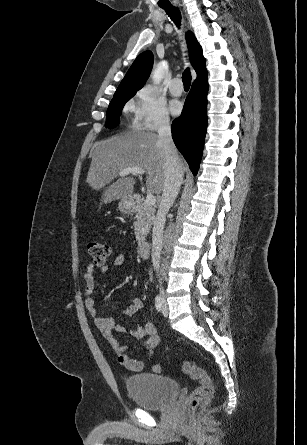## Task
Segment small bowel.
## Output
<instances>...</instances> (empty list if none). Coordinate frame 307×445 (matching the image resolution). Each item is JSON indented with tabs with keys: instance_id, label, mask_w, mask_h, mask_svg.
Here are the masks:
<instances>
[{
	"instance_id": "obj_1",
	"label": "small bowel",
	"mask_w": 307,
	"mask_h": 445,
	"mask_svg": "<svg viewBox=\"0 0 307 445\" xmlns=\"http://www.w3.org/2000/svg\"><path fill=\"white\" fill-rule=\"evenodd\" d=\"M112 264L114 267L125 265L126 256L124 254L117 255L114 258ZM110 270L111 267L107 265L102 267L100 272L104 274L110 272ZM83 279L86 293L85 306L88 312L93 317L96 328L106 338L111 347L116 351V353L118 354V360L122 365H124L131 371H141L144 367V363L140 360L131 358L128 355V347L125 345H120L117 339L113 336V332H129L132 338H134L135 340H143V348L146 351L148 358H152L154 356L156 348L160 343V336L156 332L155 325L150 321H146L142 325L129 330L125 325L117 324L114 318L104 317L100 315L96 309L95 301L93 298V293L96 287L94 264H89L87 266ZM143 307L144 304L141 299L133 298L123 312V315L132 317L141 309H143Z\"/></svg>"
}]
</instances>
